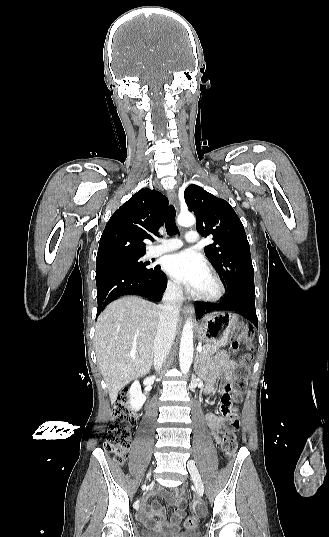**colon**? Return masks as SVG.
I'll use <instances>...</instances> for the list:
<instances>
[{
    "mask_svg": "<svg viewBox=\"0 0 329 537\" xmlns=\"http://www.w3.org/2000/svg\"><path fill=\"white\" fill-rule=\"evenodd\" d=\"M252 337V331L248 330L240 334V340H242L248 349H251L250 340ZM239 341H236L232 345V351L235 352L238 348ZM251 362V355L244 353L239 359V368L235 382L233 384V394L229 388L223 393L222 402L224 406V414L229 413V408L233 403L239 400L240 394L245 390L247 386V379L249 375V366ZM132 401L131 393L122 391L115 402L113 416L107 431L105 439V449L107 452L114 455L117 462L122 463L125 455L130 447L132 429L135 425V418L130 410ZM238 421L236 419H228L221 431V448L223 452L231 457L237 450V437L236 430L238 429ZM198 517L191 515L185 520V527L188 529L195 528L198 525Z\"/></svg>",
    "mask_w": 329,
    "mask_h": 537,
    "instance_id": "colon-1",
    "label": "colon"
}]
</instances>
